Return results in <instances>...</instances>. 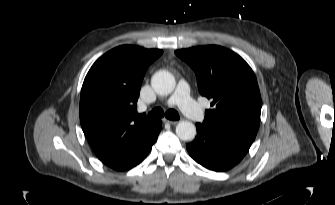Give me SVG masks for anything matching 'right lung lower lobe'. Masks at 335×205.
I'll use <instances>...</instances> for the list:
<instances>
[{
  "instance_id": "98d812e1",
  "label": "right lung lower lobe",
  "mask_w": 335,
  "mask_h": 205,
  "mask_svg": "<svg viewBox=\"0 0 335 205\" xmlns=\"http://www.w3.org/2000/svg\"><path fill=\"white\" fill-rule=\"evenodd\" d=\"M157 137L158 135L150 143H148L145 147H143L142 149H140L139 151L131 155L121 157V158L106 159V160H102V162L106 164L107 166L115 170H118V171L129 170L132 167L139 164L147 156L150 149L152 148V145L156 141Z\"/></svg>"
}]
</instances>
